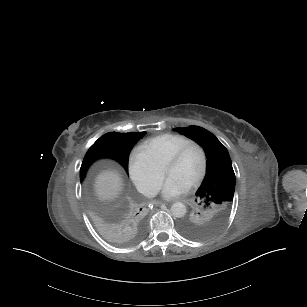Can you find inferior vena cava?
<instances>
[{
	"label": "inferior vena cava",
	"mask_w": 307,
	"mask_h": 307,
	"mask_svg": "<svg viewBox=\"0 0 307 307\" xmlns=\"http://www.w3.org/2000/svg\"><path fill=\"white\" fill-rule=\"evenodd\" d=\"M140 192L146 197H154L157 194L155 188L141 186Z\"/></svg>",
	"instance_id": "602c4592"
}]
</instances>
